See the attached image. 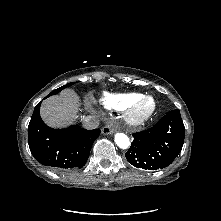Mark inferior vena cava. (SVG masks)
<instances>
[{"label": "inferior vena cava", "mask_w": 221, "mask_h": 221, "mask_svg": "<svg viewBox=\"0 0 221 221\" xmlns=\"http://www.w3.org/2000/svg\"><path fill=\"white\" fill-rule=\"evenodd\" d=\"M99 126V119L96 116H87L83 119V127L86 129H95Z\"/></svg>", "instance_id": "obj_1"}]
</instances>
